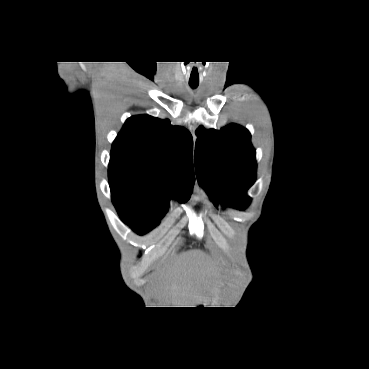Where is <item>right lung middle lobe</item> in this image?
I'll return each instance as SVG.
<instances>
[{"label":"right lung middle lobe","instance_id":"dd1d6c3e","mask_svg":"<svg viewBox=\"0 0 369 369\" xmlns=\"http://www.w3.org/2000/svg\"><path fill=\"white\" fill-rule=\"evenodd\" d=\"M109 185L121 219L139 235L156 227L168 210L166 197L138 190L124 179L109 177Z\"/></svg>","mask_w":369,"mask_h":369}]
</instances>
